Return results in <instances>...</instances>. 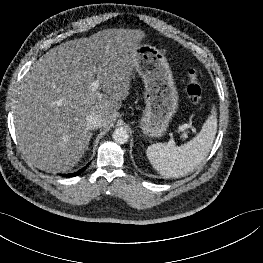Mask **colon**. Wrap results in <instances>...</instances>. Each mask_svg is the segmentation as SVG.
I'll list each match as a JSON object with an SVG mask.
<instances>
[{"label": "colon", "mask_w": 263, "mask_h": 263, "mask_svg": "<svg viewBox=\"0 0 263 263\" xmlns=\"http://www.w3.org/2000/svg\"><path fill=\"white\" fill-rule=\"evenodd\" d=\"M187 76L186 95L193 104H198L202 98V88L198 81V72L195 68H190Z\"/></svg>", "instance_id": "colon-1"}]
</instances>
